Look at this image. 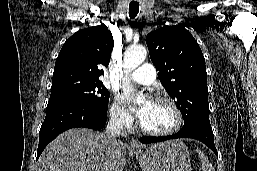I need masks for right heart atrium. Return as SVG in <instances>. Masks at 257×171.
Wrapping results in <instances>:
<instances>
[{
	"instance_id": "d8ad5b80",
	"label": "right heart atrium",
	"mask_w": 257,
	"mask_h": 171,
	"mask_svg": "<svg viewBox=\"0 0 257 171\" xmlns=\"http://www.w3.org/2000/svg\"><path fill=\"white\" fill-rule=\"evenodd\" d=\"M109 117L113 124L121 129H128L133 123L130 113L122 106L117 98H114L109 107Z\"/></svg>"
}]
</instances>
